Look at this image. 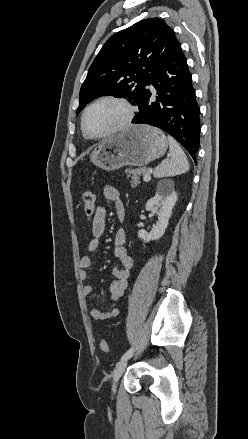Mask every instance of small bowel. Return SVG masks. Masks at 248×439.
<instances>
[{
    "mask_svg": "<svg viewBox=\"0 0 248 439\" xmlns=\"http://www.w3.org/2000/svg\"><path fill=\"white\" fill-rule=\"evenodd\" d=\"M105 198L114 204L117 217L120 221L125 218V207L121 200L119 191L113 186H106L104 188ZM106 210L102 206H98L95 210L94 217L91 223L92 238L87 244V251L94 253L98 250L100 244V238L105 232L106 228ZM126 232L124 229H118L114 236V256L117 259L119 265L112 269V274L115 279L110 285L109 300L115 302L123 297L125 290L128 287V281L130 277V271L134 266L132 257L128 254L125 247ZM92 265L91 258L87 255L81 257L79 261V277L80 280L85 282L88 279L87 269ZM82 294L88 296L92 293L93 288L89 284L82 286ZM119 307L112 305L109 311H102L98 308H93L90 311V315L94 320L105 321L114 318L119 315Z\"/></svg>",
    "mask_w": 248,
    "mask_h": 439,
    "instance_id": "obj_1",
    "label": "small bowel"
}]
</instances>
